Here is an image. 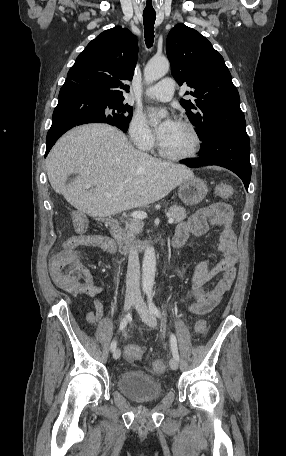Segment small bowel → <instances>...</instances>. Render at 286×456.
Listing matches in <instances>:
<instances>
[{"instance_id":"1","label":"small bowel","mask_w":286,"mask_h":456,"mask_svg":"<svg viewBox=\"0 0 286 456\" xmlns=\"http://www.w3.org/2000/svg\"><path fill=\"white\" fill-rule=\"evenodd\" d=\"M233 221L232 208L226 203L219 202L199 209L186 221L179 223L176 228L175 235L182 234L186 239L189 234H205L212 227H220L222 230L218 246L222 258L218 261L207 259L195 265L191 272L190 287L196 301L188 306V311L194 315H203L213 310L235 279L239 249L233 230ZM65 245L72 248H97L108 253L116 252L113 241L104 235H74L64 242ZM217 277H219L217 282L209 287ZM104 291L103 281L93 274H87L85 282L77 290L68 292L74 296L85 295L93 299V310H89L86 314L87 321L93 324L104 317V306L99 299ZM136 347L127 345L125 353Z\"/></svg>"}]
</instances>
